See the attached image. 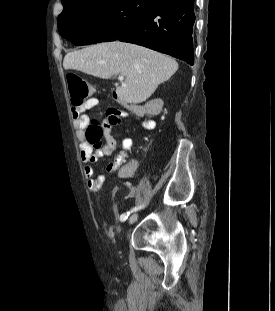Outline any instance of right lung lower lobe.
Segmentation results:
<instances>
[{"mask_svg":"<svg viewBox=\"0 0 275 311\" xmlns=\"http://www.w3.org/2000/svg\"><path fill=\"white\" fill-rule=\"evenodd\" d=\"M194 22V0H160L130 23L116 39L166 53L193 65Z\"/></svg>","mask_w":275,"mask_h":311,"instance_id":"obj_1","label":"right lung lower lobe"}]
</instances>
